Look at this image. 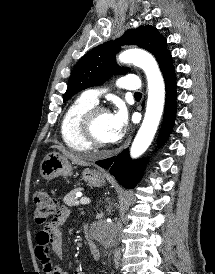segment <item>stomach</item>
<instances>
[{
    "label": "stomach",
    "mask_w": 215,
    "mask_h": 274,
    "mask_svg": "<svg viewBox=\"0 0 215 274\" xmlns=\"http://www.w3.org/2000/svg\"><path fill=\"white\" fill-rule=\"evenodd\" d=\"M73 173V166L68 158L57 152L49 153L41 162L40 174L46 180H52L58 176H70ZM82 179L89 185L101 187L106 184L107 176L95 169H85L82 172Z\"/></svg>",
    "instance_id": "obj_1"
}]
</instances>
